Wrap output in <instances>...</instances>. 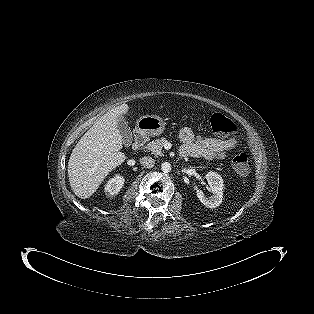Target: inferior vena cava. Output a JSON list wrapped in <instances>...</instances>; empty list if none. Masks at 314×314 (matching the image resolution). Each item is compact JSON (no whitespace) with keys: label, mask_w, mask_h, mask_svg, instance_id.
<instances>
[{"label":"inferior vena cava","mask_w":314,"mask_h":314,"mask_svg":"<svg viewBox=\"0 0 314 314\" xmlns=\"http://www.w3.org/2000/svg\"><path fill=\"white\" fill-rule=\"evenodd\" d=\"M140 163L145 168H152V167H154L155 160L152 157H143L140 159Z\"/></svg>","instance_id":"602c4592"}]
</instances>
